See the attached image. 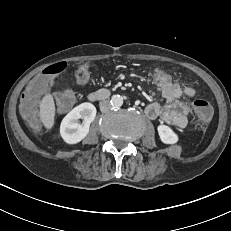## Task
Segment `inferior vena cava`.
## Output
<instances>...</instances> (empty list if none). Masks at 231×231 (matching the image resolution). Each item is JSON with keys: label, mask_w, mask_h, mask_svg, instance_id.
Segmentation results:
<instances>
[{"label": "inferior vena cava", "mask_w": 231, "mask_h": 231, "mask_svg": "<svg viewBox=\"0 0 231 231\" xmlns=\"http://www.w3.org/2000/svg\"><path fill=\"white\" fill-rule=\"evenodd\" d=\"M99 105H100V111L103 113L109 111L112 107L109 100H104V101L100 102Z\"/></svg>", "instance_id": "602c4592"}]
</instances>
